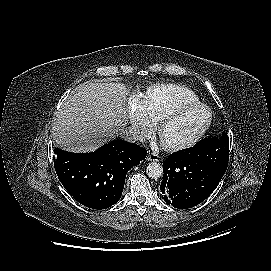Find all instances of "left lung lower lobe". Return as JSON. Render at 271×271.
Returning a JSON list of instances; mask_svg holds the SVG:
<instances>
[{
	"instance_id": "1",
	"label": "left lung lower lobe",
	"mask_w": 271,
	"mask_h": 271,
	"mask_svg": "<svg viewBox=\"0 0 271 271\" xmlns=\"http://www.w3.org/2000/svg\"><path fill=\"white\" fill-rule=\"evenodd\" d=\"M163 172L162 197L167 204L179 209L194 207L204 201L225 173L181 151L168 156L163 163Z\"/></svg>"
}]
</instances>
